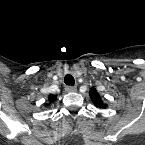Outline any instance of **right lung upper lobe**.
<instances>
[{"label": "right lung upper lobe", "mask_w": 145, "mask_h": 145, "mask_svg": "<svg viewBox=\"0 0 145 145\" xmlns=\"http://www.w3.org/2000/svg\"><path fill=\"white\" fill-rule=\"evenodd\" d=\"M56 99L55 95H50L49 96V102H53Z\"/></svg>", "instance_id": "right-lung-upper-lobe-1"}]
</instances>
